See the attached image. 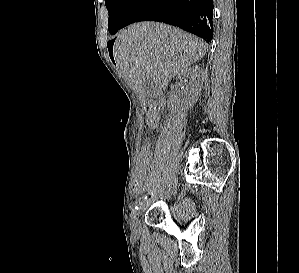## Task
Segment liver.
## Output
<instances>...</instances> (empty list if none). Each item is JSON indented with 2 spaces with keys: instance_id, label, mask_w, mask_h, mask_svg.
<instances>
[{
  "instance_id": "liver-1",
  "label": "liver",
  "mask_w": 299,
  "mask_h": 273,
  "mask_svg": "<svg viewBox=\"0 0 299 273\" xmlns=\"http://www.w3.org/2000/svg\"><path fill=\"white\" fill-rule=\"evenodd\" d=\"M207 45L201 39L174 27L141 22L117 34L113 55L117 67L139 99L149 98L143 86L153 83V95L160 94L176 74L201 59Z\"/></svg>"
}]
</instances>
